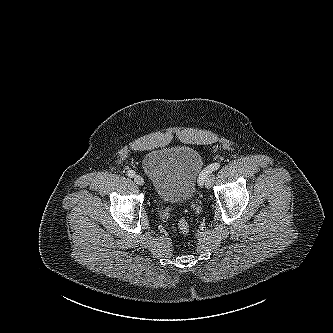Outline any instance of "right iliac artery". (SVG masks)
<instances>
[{
    "mask_svg": "<svg viewBox=\"0 0 333 333\" xmlns=\"http://www.w3.org/2000/svg\"><path fill=\"white\" fill-rule=\"evenodd\" d=\"M127 175L132 178V177H134L135 172L133 170H129Z\"/></svg>",
    "mask_w": 333,
    "mask_h": 333,
    "instance_id": "1",
    "label": "right iliac artery"
}]
</instances>
